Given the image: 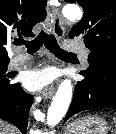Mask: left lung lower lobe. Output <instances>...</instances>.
Masks as SVG:
<instances>
[{
  "mask_svg": "<svg viewBox=\"0 0 116 134\" xmlns=\"http://www.w3.org/2000/svg\"><path fill=\"white\" fill-rule=\"evenodd\" d=\"M79 74L85 79L76 84L73 100L64 122L81 111L116 109L115 63H100L93 70L81 71Z\"/></svg>",
  "mask_w": 116,
  "mask_h": 134,
  "instance_id": "left-lung-lower-lobe-1",
  "label": "left lung lower lobe"
}]
</instances>
